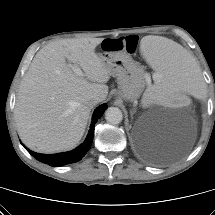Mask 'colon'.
Masks as SVG:
<instances>
[{"label": "colon", "mask_w": 215, "mask_h": 215, "mask_svg": "<svg viewBox=\"0 0 215 215\" xmlns=\"http://www.w3.org/2000/svg\"><path fill=\"white\" fill-rule=\"evenodd\" d=\"M138 36L127 35L119 38H106L102 41V48L106 51H122L128 54H134L138 47Z\"/></svg>", "instance_id": "5ec220e1"}]
</instances>
